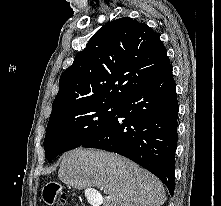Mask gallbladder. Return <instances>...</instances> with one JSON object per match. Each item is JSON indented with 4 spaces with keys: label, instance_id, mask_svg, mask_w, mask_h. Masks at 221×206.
I'll return each instance as SVG.
<instances>
[{
    "label": "gallbladder",
    "instance_id": "obj_1",
    "mask_svg": "<svg viewBox=\"0 0 221 206\" xmlns=\"http://www.w3.org/2000/svg\"><path fill=\"white\" fill-rule=\"evenodd\" d=\"M85 198H90L88 204L91 206H102L101 202H106V197L102 193H94V189H85Z\"/></svg>",
    "mask_w": 221,
    "mask_h": 206
}]
</instances>
